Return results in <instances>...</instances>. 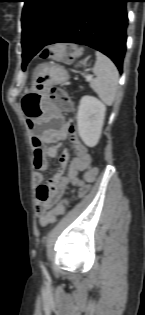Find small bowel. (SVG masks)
<instances>
[{
	"instance_id": "small-bowel-1",
	"label": "small bowel",
	"mask_w": 145,
	"mask_h": 315,
	"mask_svg": "<svg viewBox=\"0 0 145 315\" xmlns=\"http://www.w3.org/2000/svg\"><path fill=\"white\" fill-rule=\"evenodd\" d=\"M68 134L71 135V147L75 153L69 164L68 172L64 174L68 161V151L64 150L59 158V167L56 174L48 183L43 184L44 176L42 172L48 167L47 158H55L60 148V144L45 146V143L52 140L61 142L67 138ZM30 147L34 148L33 166L37 170L33 177L34 184L37 186L36 197L38 204L36 213L40 224L47 226L50 223H46L45 218L49 214L50 207L64 195L70 186L78 187L79 196L85 194L88 190V184L95 179L98 171L95 167H90L88 150L74 136V123L72 121L54 137H52V131L47 130L41 140H30ZM80 173L83 174L82 178H79Z\"/></svg>"
}]
</instances>
